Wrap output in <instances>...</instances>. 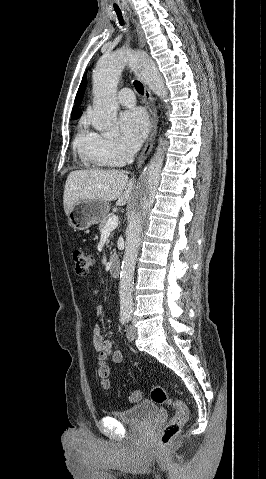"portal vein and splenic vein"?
Returning a JSON list of instances; mask_svg holds the SVG:
<instances>
[{
	"label": "portal vein and splenic vein",
	"instance_id": "18ae733b",
	"mask_svg": "<svg viewBox=\"0 0 266 479\" xmlns=\"http://www.w3.org/2000/svg\"><path fill=\"white\" fill-rule=\"evenodd\" d=\"M118 221V217L115 215L109 218L103 229V232H108L115 229L118 226Z\"/></svg>",
	"mask_w": 266,
	"mask_h": 479
}]
</instances>
